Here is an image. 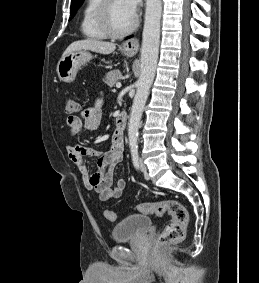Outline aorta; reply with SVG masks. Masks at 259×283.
I'll list each match as a JSON object with an SVG mask.
<instances>
[{
  "label": "aorta",
  "instance_id": "obj_1",
  "mask_svg": "<svg viewBox=\"0 0 259 283\" xmlns=\"http://www.w3.org/2000/svg\"><path fill=\"white\" fill-rule=\"evenodd\" d=\"M162 15L161 0H146L145 20L142 34V48L140 69L141 73L136 82V95L131 108L128 137L129 145L136 146L138 130L143 113V108L153 83L159 52L160 22Z\"/></svg>",
  "mask_w": 259,
  "mask_h": 283
}]
</instances>
